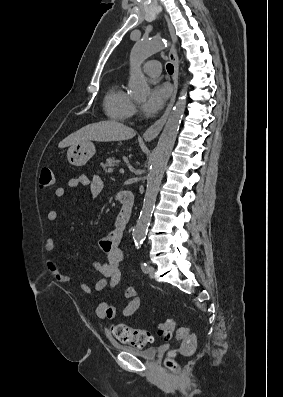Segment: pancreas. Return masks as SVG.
<instances>
[{"instance_id": "cf45deb5", "label": "pancreas", "mask_w": 283, "mask_h": 397, "mask_svg": "<svg viewBox=\"0 0 283 397\" xmlns=\"http://www.w3.org/2000/svg\"><path fill=\"white\" fill-rule=\"evenodd\" d=\"M119 160L108 158L105 163H101V167L106 173H112L115 166L119 165Z\"/></svg>"}]
</instances>
